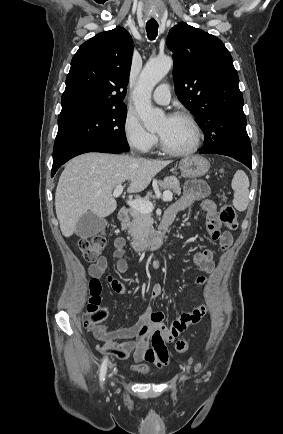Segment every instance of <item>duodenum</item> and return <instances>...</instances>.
<instances>
[{
	"label": "duodenum",
	"instance_id": "duodenum-1",
	"mask_svg": "<svg viewBox=\"0 0 283 434\" xmlns=\"http://www.w3.org/2000/svg\"><path fill=\"white\" fill-rule=\"evenodd\" d=\"M129 216V210L127 207H123L118 212V219L121 222L127 221ZM169 227V223L165 220L162 221L159 231L151 236L144 242H134L133 246L137 251L148 252L159 248L166 239L167 230Z\"/></svg>",
	"mask_w": 283,
	"mask_h": 434
}]
</instances>
